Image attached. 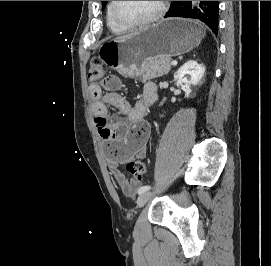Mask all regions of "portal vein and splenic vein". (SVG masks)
I'll return each instance as SVG.
<instances>
[{
  "instance_id": "portal-vein-and-splenic-vein-1",
  "label": "portal vein and splenic vein",
  "mask_w": 271,
  "mask_h": 266,
  "mask_svg": "<svg viewBox=\"0 0 271 266\" xmlns=\"http://www.w3.org/2000/svg\"><path fill=\"white\" fill-rule=\"evenodd\" d=\"M177 64H178V62L176 60L171 61L172 66H176Z\"/></svg>"
}]
</instances>
